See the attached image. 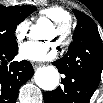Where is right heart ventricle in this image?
Listing matches in <instances>:
<instances>
[{
  "label": "right heart ventricle",
  "mask_w": 103,
  "mask_h": 103,
  "mask_svg": "<svg viewBox=\"0 0 103 103\" xmlns=\"http://www.w3.org/2000/svg\"><path fill=\"white\" fill-rule=\"evenodd\" d=\"M40 16L48 18L53 22H70V13L60 6H51L49 8L43 9L40 12Z\"/></svg>",
  "instance_id": "obj_1"
}]
</instances>
